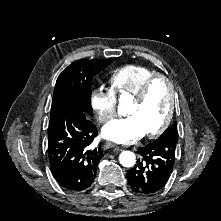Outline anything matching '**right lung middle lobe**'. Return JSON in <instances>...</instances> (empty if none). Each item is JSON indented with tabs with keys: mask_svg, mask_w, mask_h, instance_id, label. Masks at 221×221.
<instances>
[{
	"mask_svg": "<svg viewBox=\"0 0 221 221\" xmlns=\"http://www.w3.org/2000/svg\"><path fill=\"white\" fill-rule=\"evenodd\" d=\"M112 61L113 59H92L78 60L70 64L57 78L51 115L69 105L92 115L91 83L93 76L106 68Z\"/></svg>",
	"mask_w": 221,
	"mask_h": 221,
	"instance_id": "dd1d6c3e",
	"label": "right lung middle lobe"
}]
</instances>
